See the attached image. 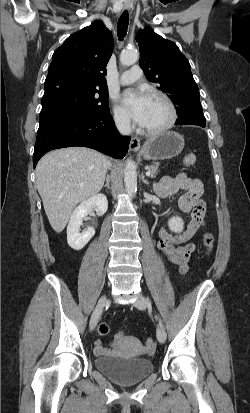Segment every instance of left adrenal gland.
Masks as SVG:
<instances>
[{
	"instance_id": "a2214340",
	"label": "left adrenal gland",
	"mask_w": 250,
	"mask_h": 413,
	"mask_svg": "<svg viewBox=\"0 0 250 413\" xmlns=\"http://www.w3.org/2000/svg\"><path fill=\"white\" fill-rule=\"evenodd\" d=\"M142 181H143V183H145V184H149V182L145 179V177H144V175H142Z\"/></svg>"
}]
</instances>
